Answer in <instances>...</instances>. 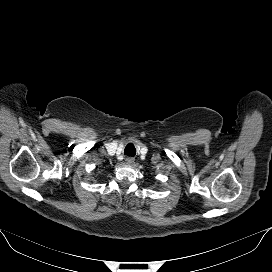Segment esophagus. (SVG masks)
Listing matches in <instances>:
<instances>
[{
    "label": "esophagus",
    "instance_id": "1",
    "mask_svg": "<svg viewBox=\"0 0 272 272\" xmlns=\"http://www.w3.org/2000/svg\"><path fill=\"white\" fill-rule=\"evenodd\" d=\"M125 163H126L127 165H132V164L134 163V157H127V158L125 159Z\"/></svg>",
    "mask_w": 272,
    "mask_h": 272
}]
</instances>
